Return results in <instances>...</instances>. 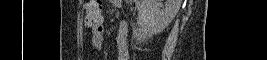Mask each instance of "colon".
<instances>
[{"label": "colon", "mask_w": 267, "mask_h": 60, "mask_svg": "<svg viewBox=\"0 0 267 60\" xmlns=\"http://www.w3.org/2000/svg\"><path fill=\"white\" fill-rule=\"evenodd\" d=\"M102 6L100 1H90L86 7V23L89 26H99L102 21Z\"/></svg>", "instance_id": "obj_1"}]
</instances>
